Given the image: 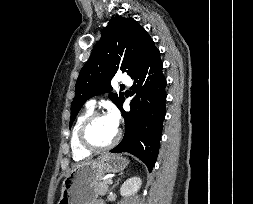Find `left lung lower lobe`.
Masks as SVG:
<instances>
[{
  "label": "left lung lower lobe",
  "mask_w": 253,
  "mask_h": 204,
  "mask_svg": "<svg viewBox=\"0 0 253 204\" xmlns=\"http://www.w3.org/2000/svg\"><path fill=\"white\" fill-rule=\"evenodd\" d=\"M160 52L154 46L141 69L131 78L133 90L137 93L131 108L125 112L119 108L125 119V135L110 152H128L142 160L151 172L159 151L162 124L165 118L166 79L162 73Z\"/></svg>",
  "instance_id": "obj_1"
}]
</instances>
